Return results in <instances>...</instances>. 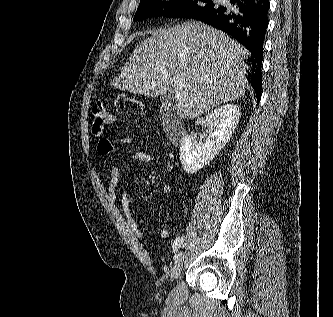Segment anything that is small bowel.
<instances>
[{
  "instance_id": "obj_1",
  "label": "small bowel",
  "mask_w": 333,
  "mask_h": 317,
  "mask_svg": "<svg viewBox=\"0 0 333 317\" xmlns=\"http://www.w3.org/2000/svg\"><path fill=\"white\" fill-rule=\"evenodd\" d=\"M120 144L122 145H129L130 144V139L125 137L120 139L119 141ZM117 150V145L109 140L108 138H100L97 143V151L100 155L102 156H107L114 151ZM154 157L144 151H136L131 154L130 156V161L131 162H141V163H151L153 162ZM120 177H121V172L120 169L117 166H113L110 170V181H109V186H108V194L110 198L115 199L117 196V191L119 188V182H120ZM163 194L167 197H170L173 195L174 189L171 185H164L163 186ZM120 203L122 207L123 214L125 216V219L129 225V227L132 229V231L139 237H143L144 234L142 230L139 228L137 225L136 221L131 215L130 212V204L129 200L127 198L126 193L121 190L120 191ZM160 237L165 239L169 236V226L168 223L160 230L159 233Z\"/></svg>"
}]
</instances>
